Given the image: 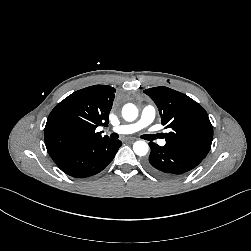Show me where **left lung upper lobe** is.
Instances as JSON below:
<instances>
[{"instance_id": "obj_1", "label": "left lung upper lobe", "mask_w": 251, "mask_h": 251, "mask_svg": "<svg viewBox=\"0 0 251 251\" xmlns=\"http://www.w3.org/2000/svg\"><path fill=\"white\" fill-rule=\"evenodd\" d=\"M157 105L162 124L171 128L166 145L182 148L206 157L212 140L213 127L207 112L187 95L160 86L144 90Z\"/></svg>"}]
</instances>
